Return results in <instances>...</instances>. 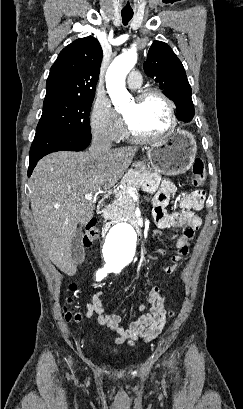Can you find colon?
I'll return each instance as SVG.
<instances>
[{
  "mask_svg": "<svg viewBox=\"0 0 243 409\" xmlns=\"http://www.w3.org/2000/svg\"><path fill=\"white\" fill-rule=\"evenodd\" d=\"M206 179L207 172L204 162L200 159L195 160L192 165V183L195 186H202L205 183ZM99 238L100 235L95 222H90L86 227V231L83 237L84 245L86 247H93L98 243ZM75 289L76 286L74 284L70 285L71 291H74ZM64 312L67 321L71 320L78 321L81 319V315L79 313L74 312L68 307H64ZM173 314H174L173 311L169 312V316H172Z\"/></svg>",
  "mask_w": 243,
  "mask_h": 409,
  "instance_id": "obj_1",
  "label": "colon"
}]
</instances>
